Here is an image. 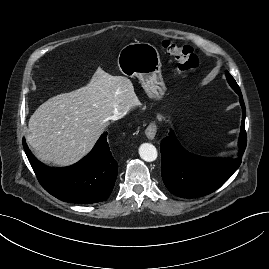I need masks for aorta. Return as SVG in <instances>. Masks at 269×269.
Listing matches in <instances>:
<instances>
[{
    "mask_svg": "<svg viewBox=\"0 0 269 269\" xmlns=\"http://www.w3.org/2000/svg\"><path fill=\"white\" fill-rule=\"evenodd\" d=\"M139 155L144 161L152 162L157 158V149L151 143H143L139 147Z\"/></svg>",
    "mask_w": 269,
    "mask_h": 269,
    "instance_id": "1",
    "label": "aorta"
}]
</instances>
